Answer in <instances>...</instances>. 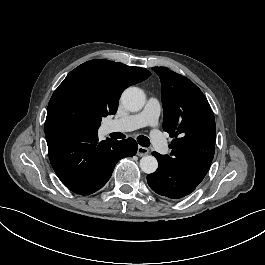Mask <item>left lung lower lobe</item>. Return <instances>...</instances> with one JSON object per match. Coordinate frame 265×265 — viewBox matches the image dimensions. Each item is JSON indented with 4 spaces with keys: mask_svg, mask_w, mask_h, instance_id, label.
<instances>
[{
    "mask_svg": "<svg viewBox=\"0 0 265 265\" xmlns=\"http://www.w3.org/2000/svg\"><path fill=\"white\" fill-rule=\"evenodd\" d=\"M152 154L158 160V169L147 176V181L150 188L157 194L171 199H179L192 193L199 185L167 164L158 153L153 152Z\"/></svg>",
    "mask_w": 265,
    "mask_h": 265,
    "instance_id": "obj_1",
    "label": "left lung lower lobe"
}]
</instances>
